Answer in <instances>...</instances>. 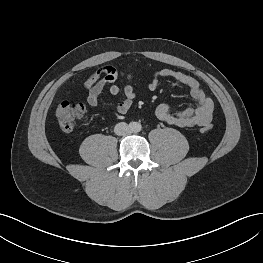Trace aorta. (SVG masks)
<instances>
[{
	"label": "aorta",
	"mask_w": 263,
	"mask_h": 263,
	"mask_svg": "<svg viewBox=\"0 0 263 263\" xmlns=\"http://www.w3.org/2000/svg\"><path fill=\"white\" fill-rule=\"evenodd\" d=\"M140 128H141L140 124L139 123H135L133 130L138 132V131H140Z\"/></svg>",
	"instance_id": "obj_1"
}]
</instances>
